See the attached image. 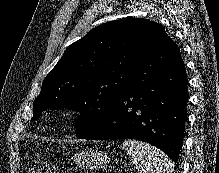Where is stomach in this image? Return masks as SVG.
Segmentation results:
<instances>
[{"mask_svg":"<svg viewBox=\"0 0 219 173\" xmlns=\"http://www.w3.org/2000/svg\"><path fill=\"white\" fill-rule=\"evenodd\" d=\"M72 159L78 166L88 170L103 168L111 160L107 153L91 149L75 153Z\"/></svg>","mask_w":219,"mask_h":173,"instance_id":"0dacf381","label":"stomach"}]
</instances>
